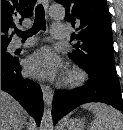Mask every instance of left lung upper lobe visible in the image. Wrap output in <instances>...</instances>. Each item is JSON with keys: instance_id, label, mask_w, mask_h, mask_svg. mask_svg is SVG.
I'll return each instance as SVG.
<instances>
[{"instance_id": "obj_1", "label": "left lung upper lobe", "mask_w": 123, "mask_h": 130, "mask_svg": "<svg viewBox=\"0 0 123 130\" xmlns=\"http://www.w3.org/2000/svg\"><path fill=\"white\" fill-rule=\"evenodd\" d=\"M66 8L65 20L76 28L70 58L85 68L116 75L111 16L106 0H56ZM117 76V75H116Z\"/></svg>"}]
</instances>
